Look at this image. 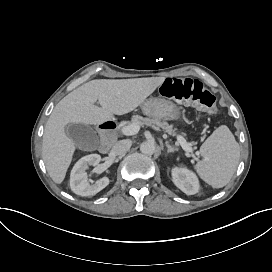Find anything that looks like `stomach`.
Instances as JSON below:
<instances>
[{"instance_id": "0dacf381", "label": "stomach", "mask_w": 272, "mask_h": 272, "mask_svg": "<svg viewBox=\"0 0 272 272\" xmlns=\"http://www.w3.org/2000/svg\"><path fill=\"white\" fill-rule=\"evenodd\" d=\"M140 107L145 115L160 120H176L181 116L180 108L163 98L150 97L144 100Z\"/></svg>"}]
</instances>
